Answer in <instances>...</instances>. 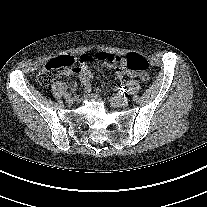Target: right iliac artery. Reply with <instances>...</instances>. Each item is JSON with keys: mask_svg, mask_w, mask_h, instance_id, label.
<instances>
[{"mask_svg": "<svg viewBox=\"0 0 207 207\" xmlns=\"http://www.w3.org/2000/svg\"><path fill=\"white\" fill-rule=\"evenodd\" d=\"M71 96V92L65 94V98H69Z\"/></svg>", "mask_w": 207, "mask_h": 207, "instance_id": "1", "label": "right iliac artery"}]
</instances>
